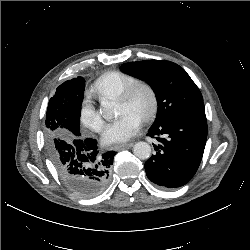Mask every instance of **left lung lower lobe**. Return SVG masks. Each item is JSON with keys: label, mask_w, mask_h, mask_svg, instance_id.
<instances>
[{"label": "left lung lower lobe", "mask_w": 250, "mask_h": 250, "mask_svg": "<svg viewBox=\"0 0 250 250\" xmlns=\"http://www.w3.org/2000/svg\"><path fill=\"white\" fill-rule=\"evenodd\" d=\"M148 136L156 138V154L145 163L147 177L163 188L188 183L202 160L207 120L204 111L187 113L151 126Z\"/></svg>", "instance_id": "1"}]
</instances>
